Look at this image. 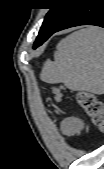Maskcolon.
Wrapping results in <instances>:
<instances>
[{"label":"colon","instance_id":"5ec220e1","mask_svg":"<svg viewBox=\"0 0 104 169\" xmlns=\"http://www.w3.org/2000/svg\"><path fill=\"white\" fill-rule=\"evenodd\" d=\"M63 91L64 87L62 85L55 88V99L57 101L62 99ZM77 101L93 125L102 128L104 125V113L102 103L98 98L93 93L82 91L77 94Z\"/></svg>","mask_w":104,"mask_h":169}]
</instances>
